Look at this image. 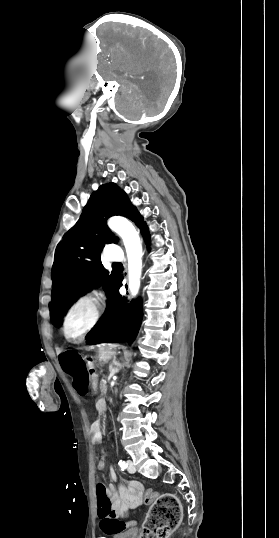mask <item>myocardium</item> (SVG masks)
Listing matches in <instances>:
<instances>
[{
    "label": "myocardium",
    "mask_w": 279,
    "mask_h": 538,
    "mask_svg": "<svg viewBox=\"0 0 279 538\" xmlns=\"http://www.w3.org/2000/svg\"><path fill=\"white\" fill-rule=\"evenodd\" d=\"M91 308V317L87 325L77 334L70 335L68 332L70 321L75 312L81 307ZM102 302L95 294L87 293L77 298L65 312L61 321V334L67 342L75 343L84 339L100 322L102 316Z\"/></svg>",
    "instance_id": "myocardium-1"
}]
</instances>
